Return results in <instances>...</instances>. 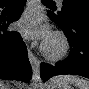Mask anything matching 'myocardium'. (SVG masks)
<instances>
[{"instance_id":"f54148a6","label":"myocardium","mask_w":89,"mask_h":89,"mask_svg":"<svg viewBox=\"0 0 89 89\" xmlns=\"http://www.w3.org/2000/svg\"><path fill=\"white\" fill-rule=\"evenodd\" d=\"M53 42L56 43L55 47H51ZM69 48L68 38L61 31L53 32L41 46L43 55L50 61L62 60L68 54Z\"/></svg>"}]
</instances>
